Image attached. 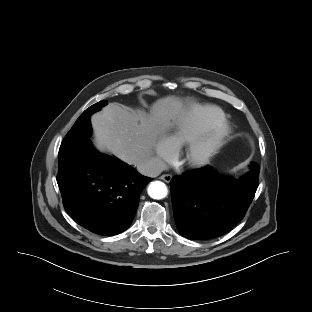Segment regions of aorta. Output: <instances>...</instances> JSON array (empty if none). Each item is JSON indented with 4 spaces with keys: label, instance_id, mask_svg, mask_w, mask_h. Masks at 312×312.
<instances>
[{
    "label": "aorta",
    "instance_id": "1",
    "mask_svg": "<svg viewBox=\"0 0 312 312\" xmlns=\"http://www.w3.org/2000/svg\"><path fill=\"white\" fill-rule=\"evenodd\" d=\"M147 191L151 198L157 200L165 198L168 193L166 184L161 181L151 182Z\"/></svg>",
    "mask_w": 312,
    "mask_h": 312
}]
</instances>
